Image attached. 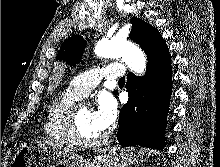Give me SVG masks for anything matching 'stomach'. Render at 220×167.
<instances>
[{
  "instance_id": "1",
  "label": "stomach",
  "mask_w": 220,
  "mask_h": 167,
  "mask_svg": "<svg viewBox=\"0 0 220 167\" xmlns=\"http://www.w3.org/2000/svg\"><path fill=\"white\" fill-rule=\"evenodd\" d=\"M136 158L130 149H107L90 161L71 150L32 142L18 150L11 167H129Z\"/></svg>"
}]
</instances>
